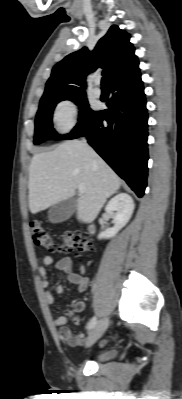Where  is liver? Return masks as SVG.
<instances>
[{
	"label": "liver",
	"instance_id": "liver-1",
	"mask_svg": "<svg viewBox=\"0 0 182 399\" xmlns=\"http://www.w3.org/2000/svg\"><path fill=\"white\" fill-rule=\"evenodd\" d=\"M80 184L86 191L77 199L78 218L92 222L121 180L86 143L65 141L54 150L36 153L29 169V209L32 214L71 198Z\"/></svg>",
	"mask_w": 182,
	"mask_h": 399
}]
</instances>
